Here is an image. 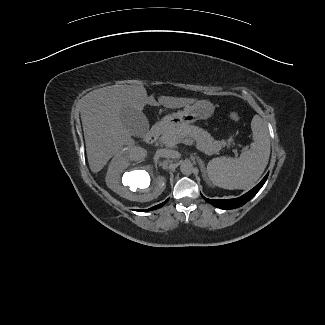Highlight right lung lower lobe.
Here are the masks:
<instances>
[{"label":"right lung lower lobe","mask_w":325,"mask_h":325,"mask_svg":"<svg viewBox=\"0 0 325 325\" xmlns=\"http://www.w3.org/2000/svg\"><path fill=\"white\" fill-rule=\"evenodd\" d=\"M166 202H167V201H165V202H163V203H161V204H158V205H156V206H154V207H152V208H149V209H147V210H140V211H150V210H154V209L160 208V207L163 206Z\"/></svg>","instance_id":"1"}]
</instances>
